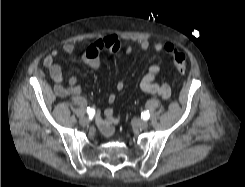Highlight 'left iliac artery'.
Here are the masks:
<instances>
[{"instance_id":"1","label":"left iliac artery","mask_w":245,"mask_h":187,"mask_svg":"<svg viewBox=\"0 0 245 187\" xmlns=\"http://www.w3.org/2000/svg\"><path fill=\"white\" fill-rule=\"evenodd\" d=\"M141 117H143L144 120H148L150 117V114L148 111H145L141 114Z\"/></svg>"}]
</instances>
